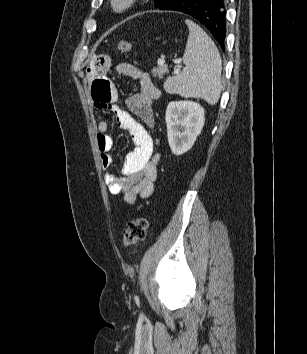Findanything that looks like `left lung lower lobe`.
Segmentation results:
<instances>
[{
  "label": "left lung lower lobe",
  "instance_id": "left-lung-lower-lobe-1",
  "mask_svg": "<svg viewBox=\"0 0 307 354\" xmlns=\"http://www.w3.org/2000/svg\"><path fill=\"white\" fill-rule=\"evenodd\" d=\"M161 10L186 13L200 21L224 49L226 9L224 0H170Z\"/></svg>",
  "mask_w": 307,
  "mask_h": 354
}]
</instances>
